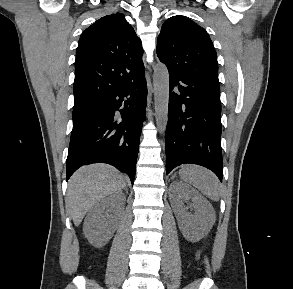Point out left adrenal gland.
Instances as JSON below:
<instances>
[{
	"label": "left adrenal gland",
	"instance_id": "1",
	"mask_svg": "<svg viewBox=\"0 0 293 289\" xmlns=\"http://www.w3.org/2000/svg\"><path fill=\"white\" fill-rule=\"evenodd\" d=\"M175 177V175H173L172 177H171V179H173Z\"/></svg>",
	"mask_w": 293,
	"mask_h": 289
}]
</instances>
